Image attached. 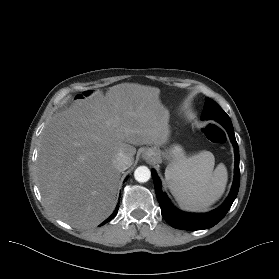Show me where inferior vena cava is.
Here are the masks:
<instances>
[{
  "instance_id": "inferior-vena-cava-1",
  "label": "inferior vena cava",
  "mask_w": 279,
  "mask_h": 279,
  "mask_svg": "<svg viewBox=\"0 0 279 279\" xmlns=\"http://www.w3.org/2000/svg\"><path fill=\"white\" fill-rule=\"evenodd\" d=\"M114 167L118 171H124L132 165V161L129 156L124 153H119L113 161Z\"/></svg>"
}]
</instances>
